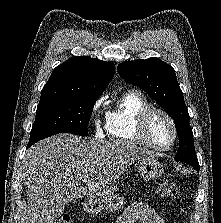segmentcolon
Masks as SVG:
<instances>
[{
    "label": "colon",
    "instance_id": "1",
    "mask_svg": "<svg viewBox=\"0 0 221 223\" xmlns=\"http://www.w3.org/2000/svg\"><path fill=\"white\" fill-rule=\"evenodd\" d=\"M158 193L162 198H174L178 195L177 185L169 179H163L158 187ZM67 216H61L55 223H69Z\"/></svg>",
    "mask_w": 221,
    "mask_h": 223
}]
</instances>
